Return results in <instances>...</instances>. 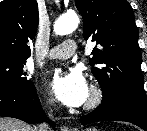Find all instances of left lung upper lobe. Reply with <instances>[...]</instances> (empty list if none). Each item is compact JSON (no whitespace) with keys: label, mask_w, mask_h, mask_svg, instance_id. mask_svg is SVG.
I'll use <instances>...</instances> for the list:
<instances>
[{"label":"left lung upper lobe","mask_w":147,"mask_h":131,"mask_svg":"<svg viewBox=\"0 0 147 131\" xmlns=\"http://www.w3.org/2000/svg\"><path fill=\"white\" fill-rule=\"evenodd\" d=\"M83 18V37L99 45L92 51L91 70L102 102L124 96L146 99L140 70L141 51L132 7L126 0H75Z\"/></svg>","instance_id":"left-lung-upper-lobe-1"}]
</instances>
